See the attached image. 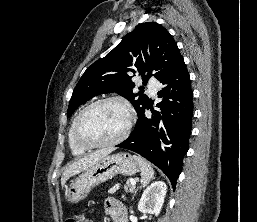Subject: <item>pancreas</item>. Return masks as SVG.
I'll use <instances>...</instances> for the list:
<instances>
[{"label": "pancreas", "mask_w": 257, "mask_h": 222, "mask_svg": "<svg viewBox=\"0 0 257 222\" xmlns=\"http://www.w3.org/2000/svg\"><path fill=\"white\" fill-rule=\"evenodd\" d=\"M116 188L110 189L108 192L110 194H113L116 192ZM135 190V186L130 183V181H127V184L125 185V191L132 193Z\"/></svg>", "instance_id": "1"}]
</instances>
